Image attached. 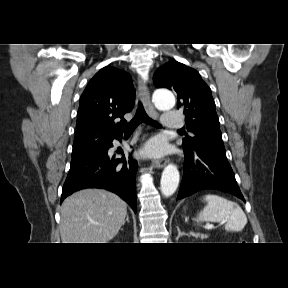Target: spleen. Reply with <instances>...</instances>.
Wrapping results in <instances>:
<instances>
[{
    "label": "spleen",
    "instance_id": "3e777b00",
    "mask_svg": "<svg viewBox=\"0 0 288 288\" xmlns=\"http://www.w3.org/2000/svg\"><path fill=\"white\" fill-rule=\"evenodd\" d=\"M203 200L206 206L198 214V221L223 222L227 231L243 230L247 217L237 203L213 194L205 195Z\"/></svg>",
    "mask_w": 288,
    "mask_h": 288
}]
</instances>
